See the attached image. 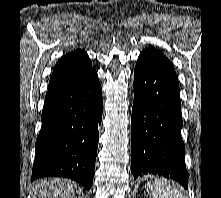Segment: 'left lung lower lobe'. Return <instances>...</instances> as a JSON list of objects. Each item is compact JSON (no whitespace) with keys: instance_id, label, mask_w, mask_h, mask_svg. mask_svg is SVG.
Wrapping results in <instances>:
<instances>
[{"instance_id":"1","label":"left lung lower lobe","mask_w":221,"mask_h":198,"mask_svg":"<svg viewBox=\"0 0 221 198\" xmlns=\"http://www.w3.org/2000/svg\"><path fill=\"white\" fill-rule=\"evenodd\" d=\"M176 73L160 58L141 53L134 70L131 172L170 177L187 188L185 146Z\"/></svg>"}]
</instances>
